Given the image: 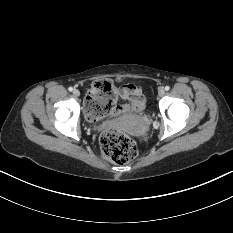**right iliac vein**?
I'll use <instances>...</instances> for the list:
<instances>
[{
	"instance_id": "right-iliac-vein-1",
	"label": "right iliac vein",
	"mask_w": 233,
	"mask_h": 233,
	"mask_svg": "<svg viewBox=\"0 0 233 233\" xmlns=\"http://www.w3.org/2000/svg\"><path fill=\"white\" fill-rule=\"evenodd\" d=\"M74 96L78 97L80 95V91L78 89H75L73 91Z\"/></svg>"
}]
</instances>
